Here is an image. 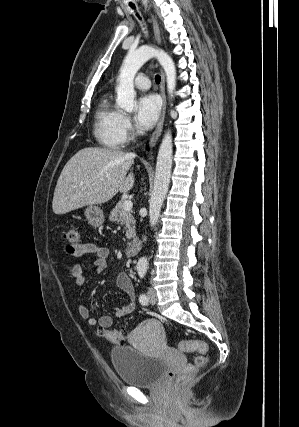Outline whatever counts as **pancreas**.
<instances>
[{
    "label": "pancreas",
    "mask_w": 299,
    "mask_h": 427,
    "mask_svg": "<svg viewBox=\"0 0 299 427\" xmlns=\"http://www.w3.org/2000/svg\"><path fill=\"white\" fill-rule=\"evenodd\" d=\"M123 203L124 200H121L116 204V206L110 212L109 219L112 222L123 224L124 229L126 230V237L130 239L135 236V221L130 210H123Z\"/></svg>",
    "instance_id": "cf45deb5"
}]
</instances>
